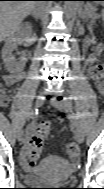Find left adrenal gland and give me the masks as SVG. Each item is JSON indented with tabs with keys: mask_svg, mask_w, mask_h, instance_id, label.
Listing matches in <instances>:
<instances>
[{
	"mask_svg": "<svg viewBox=\"0 0 104 189\" xmlns=\"http://www.w3.org/2000/svg\"><path fill=\"white\" fill-rule=\"evenodd\" d=\"M79 17H80L81 19H83L84 21L87 20L86 15H84V13H83V9H80V11H79Z\"/></svg>",
	"mask_w": 104,
	"mask_h": 189,
	"instance_id": "1",
	"label": "left adrenal gland"
}]
</instances>
